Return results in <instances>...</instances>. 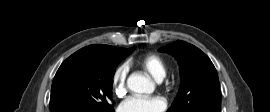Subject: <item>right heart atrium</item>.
Returning a JSON list of instances; mask_svg holds the SVG:
<instances>
[{
  "label": "right heart atrium",
  "instance_id": "obj_1",
  "mask_svg": "<svg viewBox=\"0 0 270 112\" xmlns=\"http://www.w3.org/2000/svg\"><path fill=\"white\" fill-rule=\"evenodd\" d=\"M128 70V65L123 63L116 67L112 74L111 85L116 96H122L126 91V79Z\"/></svg>",
  "mask_w": 270,
  "mask_h": 112
}]
</instances>
